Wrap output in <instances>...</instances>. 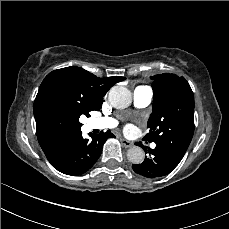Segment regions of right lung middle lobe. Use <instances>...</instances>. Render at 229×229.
I'll return each instance as SVG.
<instances>
[{
	"mask_svg": "<svg viewBox=\"0 0 229 229\" xmlns=\"http://www.w3.org/2000/svg\"><path fill=\"white\" fill-rule=\"evenodd\" d=\"M35 110L43 131L54 138H66L80 131V116L89 117L90 111H97L79 95L62 87L47 90Z\"/></svg>",
	"mask_w": 229,
	"mask_h": 229,
	"instance_id": "right-lung-middle-lobe-1",
	"label": "right lung middle lobe"
}]
</instances>
